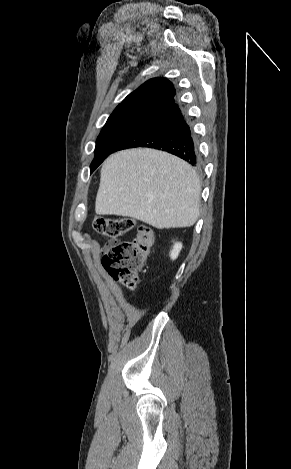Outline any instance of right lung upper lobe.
<instances>
[{
  "label": "right lung upper lobe",
  "instance_id": "right-lung-upper-lobe-1",
  "mask_svg": "<svg viewBox=\"0 0 291 469\" xmlns=\"http://www.w3.org/2000/svg\"><path fill=\"white\" fill-rule=\"evenodd\" d=\"M176 91L166 78H153L130 93L112 114L122 112H142L151 115L175 101Z\"/></svg>",
  "mask_w": 291,
  "mask_h": 469
}]
</instances>
